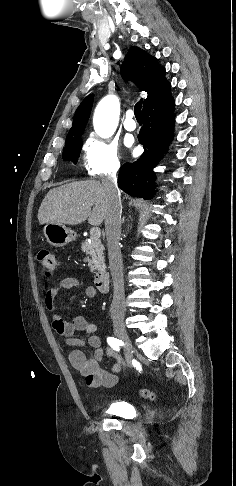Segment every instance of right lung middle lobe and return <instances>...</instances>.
Listing matches in <instances>:
<instances>
[{
	"mask_svg": "<svg viewBox=\"0 0 236 486\" xmlns=\"http://www.w3.org/2000/svg\"><path fill=\"white\" fill-rule=\"evenodd\" d=\"M82 148V140L77 139L73 142H68L63 150V157L65 160L73 161L74 164L77 163L80 151Z\"/></svg>",
	"mask_w": 236,
	"mask_h": 486,
	"instance_id": "dd1d6c3e",
	"label": "right lung middle lobe"
}]
</instances>
